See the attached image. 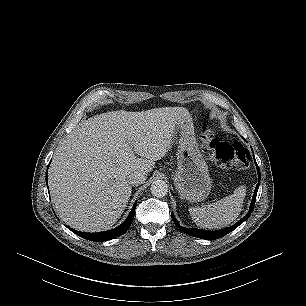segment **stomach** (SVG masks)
<instances>
[{
  "mask_svg": "<svg viewBox=\"0 0 306 306\" xmlns=\"http://www.w3.org/2000/svg\"><path fill=\"white\" fill-rule=\"evenodd\" d=\"M177 170L174 185L181 197L190 203L205 200L211 190L208 166L196 141L192 120H184L179 126Z\"/></svg>",
  "mask_w": 306,
  "mask_h": 306,
  "instance_id": "1",
  "label": "stomach"
}]
</instances>
